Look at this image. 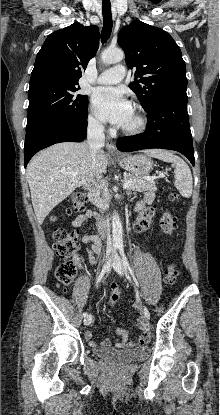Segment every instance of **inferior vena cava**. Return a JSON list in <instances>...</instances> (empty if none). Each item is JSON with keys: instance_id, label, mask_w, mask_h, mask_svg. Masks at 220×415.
<instances>
[{"instance_id": "inferior-vena-cava-1", "label": "inferior vena cava", "mask_w": 220, "mask_h": 415, "mask_svg": "<svg viewBox=\"0 0 220 415\" xmlns=\"http://www.w3.org/2000/svg\"><path fill=\"white\" fill-rule=\"evenodd\" d=\"M87 143L89 146L92 164L98 167V153L105 144L104 127L101 123L91 122L88 125ZM107 227L109 226L108 221ZM107 249L112 250V239L107 236Z\"/></svg>"}]
</instances>
